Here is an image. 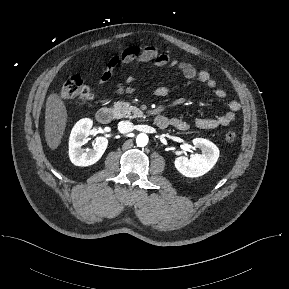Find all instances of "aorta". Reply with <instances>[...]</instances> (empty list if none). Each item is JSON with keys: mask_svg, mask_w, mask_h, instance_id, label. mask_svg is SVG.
<instances>
[{"mask_svg": "<svg viewBox=\"0 0 289 289\" xmlns=\"http://www.w3.org/2000/svg\"><path fill=\"white\" fill-rule=\"evenodd\" d=\"M136 143L140 147H144L148 143V136L145 133H140L136 138Z\"/></svg>", "mask_w": 289, "mask_h": 289, "instance_id": "aorta-1", "label": "aorta"}]
</instances>
